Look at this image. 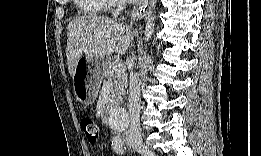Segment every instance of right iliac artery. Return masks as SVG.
<instances>
[{
	"label": "right iliac artery",
	"mask_w": 261,
	"mask_h": 156,
	"mask_svg": "<svg viewBox=\"0 0 261 156\" xmlns=\"http://www.w3.org/2000/svg\"><path fill=\"white\" fill-rule=\"evenodd\" d=\"M112 146H113L115 152H117L119 154H123L124 151L126 150L124 141L120 138L114 139L112 141Z\"/></svg>",
	"instance_id": "obj_1"
}]
</instances>
